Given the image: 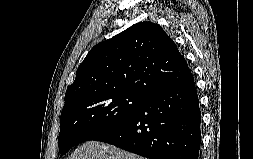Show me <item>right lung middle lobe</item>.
Listing matches in <instances>:
<instances>
[{
  "mask_svg": "<svg viewBox=\"0 0 253 159\" xmlns=\"http://www.w3.org/2000/svg\"><path fill=\"white\" fill-rule=\"evenodd\" d=\"M145 98L134 92H99L69 101L60 117L59 152L65 154L75 144L119 125Z\"/></svg>",
  "mask_w": 253,
  "mask_h": 159,
  "instance_id": "obj_1",
  "label": "right lung middle lobe"
}]
</instances>
